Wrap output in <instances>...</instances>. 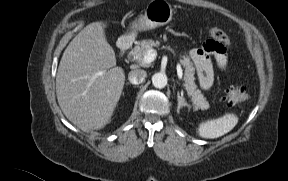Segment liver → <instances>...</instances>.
Masks as SVG:
<instances>
[{"label": "liver", "mask_w": 288, "mask_h": 181, "mask_svg": "<svg viewBox=\"0 0 288 181\" xmlns=\"http://www.w3.org/2000/svg\"><path fill=\"white\" fill-rule=\"evenodd\" d=\"M106 24L93 22L65 49L56 76V94L67 119L84 132L109 123L120 99L125 73L116 67Z\"/></svg>", "instance_id": "1"}]
</instances>
